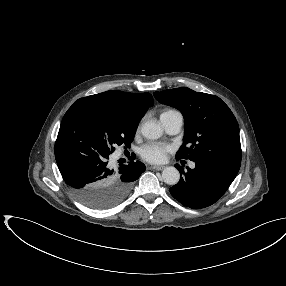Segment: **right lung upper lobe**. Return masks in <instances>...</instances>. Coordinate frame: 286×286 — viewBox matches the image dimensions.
<instances>
[{"label": "right lung upper lobe", "mask_w": 286, "mask_h": 286, "mask_svg": "<svg viewBox=\"0 0 286 286\" xmlns=\"http://www.w3.org/2000/svg\"><path fill=\"white\" fill-rule=\"evenodd\" d=\"M82 99L106 103L135 119L138 123L148 108L153 106L154 101L149 93H128L116 90L106 91Z\"/></svg>", "instance_id": "right-lung-upper-lobe-1"}]
</instances>
